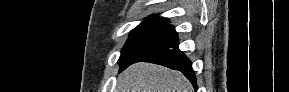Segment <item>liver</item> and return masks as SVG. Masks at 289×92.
Here are the masks:
<instances>
[{"instance_id":"6515ba94","label":"liver","mask_w":289,"mask_h":92,"mask_svg":"<svg viewBox=\"0 0 289 92\" xmlns=\"http://www.w3.org/2000/svg\"><path fill=\"white\" fill-rule=\"evenodd\" d=\"M188 79L180 72L159 65L139 62L118 77V92H192Z\"/></svg>"}]
</instances>
